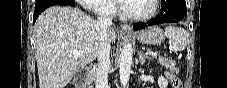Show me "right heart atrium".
Returning <instances> with one entry per match:
<instances>
[{
    "label": "right heart atrium",
    "instance_id": "obj_1",
    "mask_svg": "<svg viewBox=\"0 0 227 88\" xmlns=\"http://www.w3.org/2000/svg\"><path fill=\"white\" fill-rule=\"evenodd\" d=\"M109 2V0H78V3L86 10L100 16H106L111 13Z\"/></svg>",
    "mask_w": 227,
    "mask_h": 88
}]
</instances>
